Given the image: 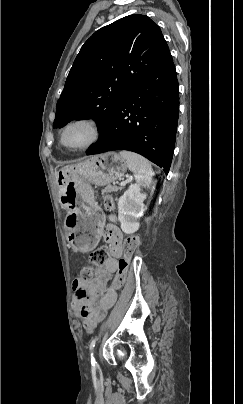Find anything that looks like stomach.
<instances>
[{
  "instance_id": "1",
  "label": "stomach",
  "mask_w": 243,
  "mask_h": 404,
  "mask_svg": "<svg viewBox=\"0 0 243 404\" xmlns=\"http://www.w3.org/2000/svg\"><path fill=\"white\" fill-rule=\"evenodd\" d=\"M127 168L128 164L120 154L109 152L65 166L58 172L60 202L69 210L65 229L75 250L87 252L95 248L105 224L91 184L108 185L122 178Z\"/></svg>"
}]
</instances>
